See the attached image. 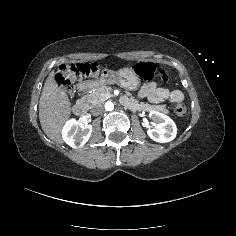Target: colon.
Masks as SVG:
<instances>
[{"label": "colon", "instance_id": "colon-1", "mask_svg": "<svg viewBox=\"0 0 236 236\" xmlns=\"http://www.w3.org/2000/svg\"><path fill=\"white\" fill-rule=\"evenodd\" d=\"M99 71L98 64H69L60 66L57 74L56 81L59 86L69 91L77 80L83 76H92ZM135 72L146 80L160 79L167 81L169 78L168 73L163 70H159L157 66L152 62H139L135 66ZM188 108L185 104L181 103L176 107V113L178 116H185Z\"/></svg>", "mask_w": 236, "mask_h": 236}]
</instances>
